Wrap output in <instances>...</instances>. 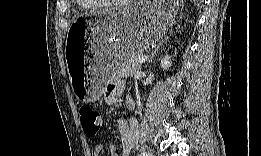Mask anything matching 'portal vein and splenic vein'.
<instances>
[{"label": "portal vein and splenic vein", "instance_id": "1", "mask_svg": "<svg viewBox=\"0 0 261 156\" xmlns=\"http://www.w3.org/2000/svg\"><path fill=\"white\" fill-rule=\"evenodd\" d=\"M148 56L147 55H144V56H139L135 59V62L137 63H143L147 60Z\"/></svg>", "mask_w": 261, "mask_h": 156}]
</instances>
